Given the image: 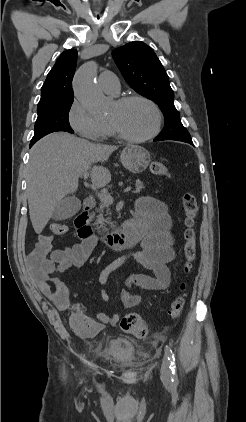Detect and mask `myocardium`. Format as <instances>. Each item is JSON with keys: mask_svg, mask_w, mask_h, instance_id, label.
<instances>
[{"mask_svg": "<svg viewBox=\"0 0 246 422\" xmlns=\"http://www.w3.org/2000/svg\"><path fill=\"white\" fill-rule=\"evenodd\" d=\"M134 101H141L148 104L155 112L156 115V123L153 130L141 137H135L128 133H126L122 128H120L115 122L109 121L110 126L117 134V136L125 141L132 142V143H144L156 137L159 132L161 131L162 124H163V114L159 106L150 98L145 97L143 95H127L120 97L116 100V104L118 106H124Z\"/></svg>", "mask_w": 246, "mask_h": 422, "instance_id": "obj_1", "label": "myocardium"}]
</instances>
